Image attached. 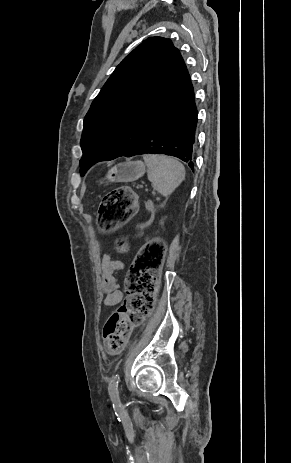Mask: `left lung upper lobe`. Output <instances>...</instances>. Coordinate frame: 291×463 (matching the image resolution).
Instances as JSON below:
<instances>
[{
	"mask_svg": "<svg viewBox=\"0 0 291 463\" xmlns=\"http://www.w3.org/2000/svg\"><path fill=\"white\" fill-rule=\"evenodd\" d=\"M191 83L171 40L143 41L116 67L84 118L83 176L95 163L131 150Z\"/></svg>",
	"mask_w": 291,
	"mask_h": 463,
	"instance_id": "left-lung-upper-lobe-1",
	"label": "left lung upper lobe"
}]
</instances>
